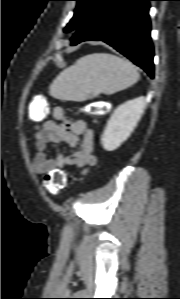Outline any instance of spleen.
Returning a JSON list of instances; mask_svg holds the SVG:
<instances>
[{
  "mask_svg": "<svg viewBox=\"0 0 180 299\" xmlns=\"http://www.w3.org/2000/svg\"><path fill=\"white\" fill-rule=\"evenodd\" d=\"M139 79L128 60L109 53H93L64 69L50 85V95L62 101H85L100 93L113 94Z\"/></svg>",
  "mask_w": 180,
  "mask_h": 299,
  "instance_id": "1",
  "label": "spleen"
}]
</instances>
